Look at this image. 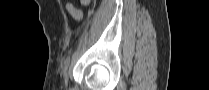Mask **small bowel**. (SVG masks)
Listing matches in <instances>:
<instances>
[{
  "label": "small bowel",
  "instance_id": "1",
  "mask_svg": "<svg viewBox=\"0 0 209 90\" xmlns=\"http://www.w3.org/2000/svg\"><path fill=\"white\" fill-rule=\"evenodd\" d=\"M81 3L83 5H87L90 3V1L89 0H82ZM66 9L74 19H76V20L82 19V17H83L82 12L79 9L75 8L71 3L66 4Z\"/></svg>",
  "mask_w": 209,
  "mask_h": 90
}]
</instances>
